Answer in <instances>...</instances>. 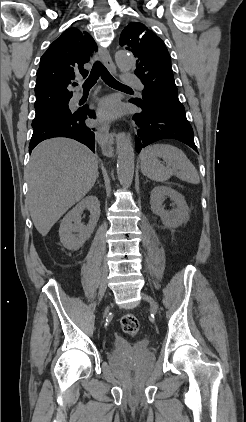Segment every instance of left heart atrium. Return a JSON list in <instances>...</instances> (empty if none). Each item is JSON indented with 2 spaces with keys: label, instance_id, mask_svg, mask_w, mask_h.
I'll list each match as a JSON object with an SVG mask.
<instances>
[{
  "label": "left heart atrium",
  "instance_id": "39dd6f15",
  "mask_svg": "<svg viewBox=\"0 0 246 422\" xmlns=\"http://www.w3.org/2000/svg\"><path fill=\"white\" fill-rule=\"evenodd\" d=\"M119 113L117 103L112 99L103 100L98 107V115L103 119H112Z\"/></svg>",
  "mask_w": 246,
  "mask_h": 422
}]
</instances>
